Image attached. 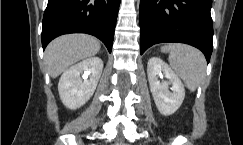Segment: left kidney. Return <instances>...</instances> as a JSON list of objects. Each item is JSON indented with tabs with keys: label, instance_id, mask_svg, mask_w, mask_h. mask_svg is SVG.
<instances>
[{
	"label": "left kidney",
	"instance_id": "left-kidney-1",
	"mask_svg": "<svg viewBox=\"0 0 243 145\" xmlns=\"http://www.w3.org/2000/svg\"><path fill=\"white\" fill-rule=\"evenodd\" d=\"M162 73L167 78V81H159L158 75ZM147 75L150 90L159 112L164 116L175 113L185 97V89L179 77L158 57L149 59ZM169 85H172V92L169 91Z\"/></svg>",
	"mask_w": 243,
	"mask_h": 145
}]
</instances>
